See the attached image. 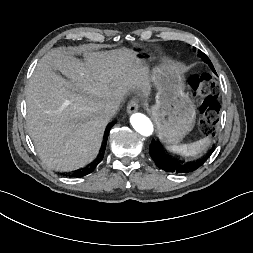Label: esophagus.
<instances>
[{"label": "esophagus", "mask_w": 253, "mask_h": 253, "mask_svg": "<svg viewBox=\"0 0 253 253\" xmlns=\"http://www.w3.org/2000/svg\"><path fill=\"white\" fill-rule=\"evenodd\" d=\"M139 108V105H138V101L136 99H131L129 102H128V105H127V111L128 113H134L138 110Z\"/></svg>", "instance_id": "esophagus-1"}]
</instances>
